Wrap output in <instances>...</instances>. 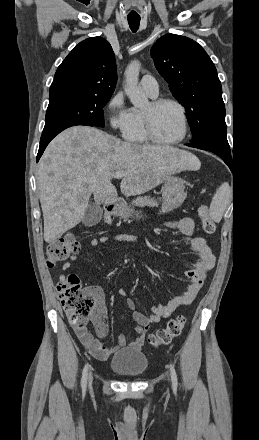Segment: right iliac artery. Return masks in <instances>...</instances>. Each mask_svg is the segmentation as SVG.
I'll return each mask as SVG.
<instances>
[{
  "label": "right iliac artery",
  "instance_id": "82829eb1",
  "mask_svg": "<svg viewBox=\"0 0 259 440\" xmlns=\"http://www.w3.org/2000/svg\"><path fill=\"white\" fill-rule=\"evenodd\" d=\"M87 378H88V363L85 365L82 373V379H81V387L85 391L86 385H87Z\"/></svg>",
  "mask_w": 259,
  "mask_h": 440
}]
</instances>
